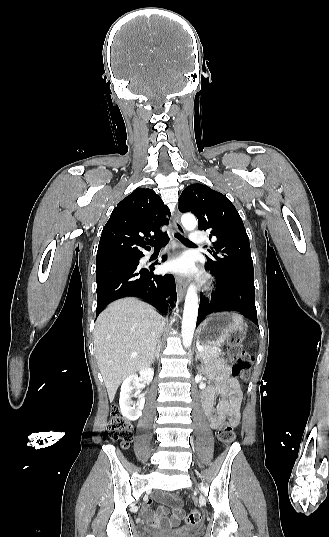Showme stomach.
<instances>
[{"label":"stomach","instance_id":"0dacf381","mask_svg":"<svg viewBox=\"0 0 329 537\" xmlns=\"http://www.w3.org/2000/svg\"><path fill=\"white\" fill-rule=\"evenodd\" d=\"M246 332L243 317L232 312L212 313L198 329V343L205 346L222 345L231 335Z\"/></svg>","mask_w":329,"mask_h":537}]
</instances>
